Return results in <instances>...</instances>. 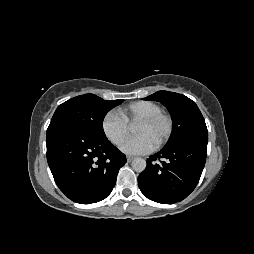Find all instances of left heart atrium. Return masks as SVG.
I'll use <instances>...</instances> for the list:
<instances>
[{"label": "left heart atrium", "mask_w": 254, "mask_h": 254, "mask_svg": "<svg viewBox=\"0 0 254 254\" xmlns=\"http://www.w3.org/2000/svg\"><path fill=\"white\" fill-rule=\"evenodd\" d=\"M154 146L146 135H136L124 141L121 150L129 155H139L150 152Z\"/></svg>", "instance_id": "1"}]
</instances>
